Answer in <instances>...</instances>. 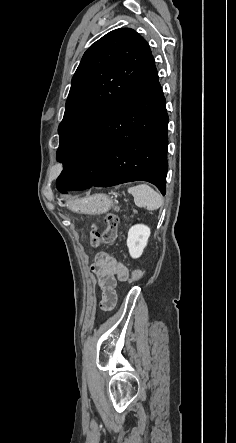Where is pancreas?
I'll list each match as a JSON object with an SVG mask.
<instances>
[{"label":"pancreas","mask_w":236,"mask_h":443,"mask_svg":"<svg viewBox=\"0 0 236 443\" xmlns=\"http://www.w3.org/2000/svg\"><path fill=\"white\" fill-rule=\"evenodd\" d=\"M134 213H137V211H136V210H134Z\"/></svg>","instance_id":"cf45deb5"}]
</instances>
